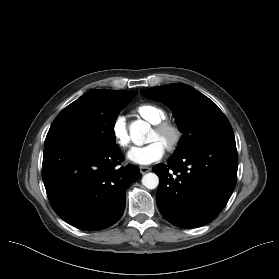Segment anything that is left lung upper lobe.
<instances>
[{"label":"left lung upper lobe","mask_w":279,"mask_h":279,"mask_svg":"<svg viewBox=\"0 0 279 279\" xmlns=\"http://www.w3.org/2000/svg\"><path fill=\"white\" fill-rule=\"evenodd\" d=\"M142 96L164 102L183 133L175 156L214 142H235L232 127L220 108L189 85L167 84L140 91Z\"/></svg>","instance_id":"1"}]
</instances>
